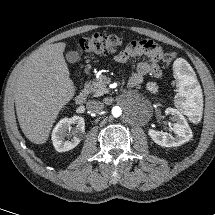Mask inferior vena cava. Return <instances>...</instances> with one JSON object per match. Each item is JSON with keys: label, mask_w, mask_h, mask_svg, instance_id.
<instances>
[{"label": "inferior vena cava", "mask_w": 215, "mask_h": 215, "mask_svg": "<svg viewBox=\"0 0 215 215\" xmlns=\"http://www.w3.org/2000/svg\"><path fill=\"white\" fill-rule=\"evenodd\" d=\"M86 107L88 110H90L94 113H98L103 110L104 103H102L101 101H97V100H90L87 102Z\"/></svg>", "instance_id": "inferior-vena-cava-1"}]
</instances>
